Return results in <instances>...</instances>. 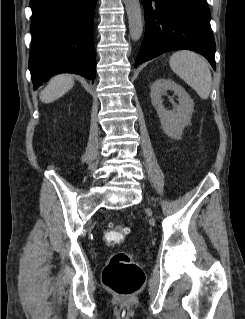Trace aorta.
I'll list each match as a JSON object with an SVG mask.
<instances>
[{"mask_svg": "<svg viewBox=\"0 0 245 319\" xmlns=\"http://www.w3.org/2000/svg\"><path fill=\"white\" fill-rule=\"evenodd\" d=\"M127 12L129 32L133 41H138L143 32L142 13L139 0H123Z\"/></svg>", "mask_w": 245, "mask_h": 319, "instance_id": "1", "label": "aorta"}]
</instances>
